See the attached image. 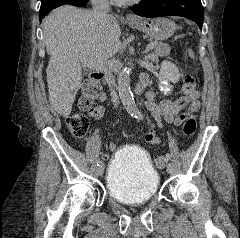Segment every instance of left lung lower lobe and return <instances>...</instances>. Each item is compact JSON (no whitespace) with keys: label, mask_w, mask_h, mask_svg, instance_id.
Returning <instances> with one entry per match:
<instances>
[{"label":"left lung lower lobe","mask_w":240,"mask_h":238,"mask_svg":"<svg viewBox=\"0 0 240 238\" xmlns=\"http://www.w3.org/2000/svg\"><path fill=\"white\" fill-rule=\"evenodd\" d=\"M130 9L142 17L182 16L196 22L202 30L204 11L201 0H142Z\"/></svg>","instance_id":"left-lung-lower-lobe-1"}]
</instances>
